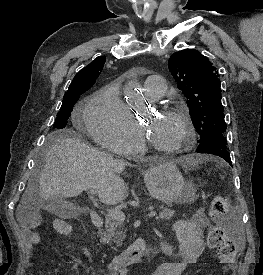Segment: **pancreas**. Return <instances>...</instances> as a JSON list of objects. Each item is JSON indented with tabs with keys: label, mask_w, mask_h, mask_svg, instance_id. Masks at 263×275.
<instances>
[{
	"label": "pancreas",
	"mask_w": 263,
	"mask_h": 275,
	"mask_svg": "<svg viewBox=\"0 0 263 275\" xmlns=\"http://www.w3.org/2000/svg\"><path fill=\"white\" fill-rule=\"evenodd\" d=\"M175 214V211L170 210L168 208H162L159 212V216L157 219H166L169 220ZM105 232H100L101 242L109 243L113 242L116 244H120L125 238V232L121 230L122 223L120 221L115 220L110 215L106 216L105 220Z\"/></svg>",
	"instance_id": "1"
}]
</instances>
